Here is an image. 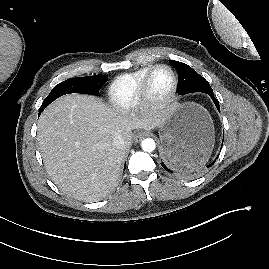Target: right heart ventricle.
I'll return each mask as SVG.
<instances>
[{"instance_id": "right-heart-ventricle-1", "label": "right heart ventricle", "mask_w": 269, "mask_h": 269, "mask_svg": "<svg viewBox=\"0 0 269 269\" xmlns=\"http://www.w3.org/2000/svg\"><path fill=\"white\" fill-rule=\"evenodd\" d=\"M150 67L117 76L109 85L108 98L118 110L127 112L138 104L139 85Z\"/></svg>"}]
</instances>
